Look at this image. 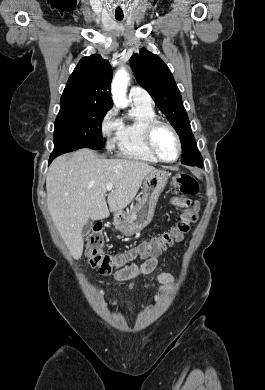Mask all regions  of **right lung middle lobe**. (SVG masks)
Returning <instances> with one entry per match:
<instances>
[{"label":"right lung middle lobe","instance_id":"dd1d6c3e","mask_svg":"<svg viewBox=\"0 0 265 390\" xmlns=\"http://www.w3.org/2000/svg\"><path fill=\"white\" fill-rule=\"evenodd\" d=\"M108 110L89 103H60L55 121L54 150L63 154L84 147L102 149L101 123Z\"/></svg>","mask_w":265,"mask_h":390}]
</instances>
